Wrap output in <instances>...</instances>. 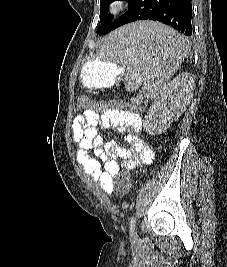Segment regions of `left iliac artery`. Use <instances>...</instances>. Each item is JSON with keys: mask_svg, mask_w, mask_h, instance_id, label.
Wrapping results in <instances>:
<instances>
[{"mask_svg": "<svg viewBox=\"0 0 227 267\" xmlns=\"http://www.w3.org/2000/svg\"><path fill=\"white\" fill-rule=\"evenodd\" d=\"M135 228V217L132 216L130 220V232L133 234Z\"/></svg>", "mask_w": 227, "mask_h": 267, "instance_id": "44dca946", "label": "left iliac artery"}]
</instances>
